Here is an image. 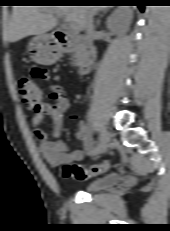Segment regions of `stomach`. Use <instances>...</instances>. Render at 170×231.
I'll return each mask as SVG.
<instances>
[{
  "label": "stomach",
  "instance_id": "stomach-1",
  "mask_svg": "<svg viewBox=\"0 0 170 231\" xmlns=\"http://www.w3.org/2000/svg\"><path fill=\"white\" fill-rule=\"evenodd\" d=\"M28 52L33 61L44 65L53 64L59 58V49L47 35L33 37L28 44Z\"/></svg>",
  "mask_w": 170,
  "mask_h": 231
}]
</instances>
